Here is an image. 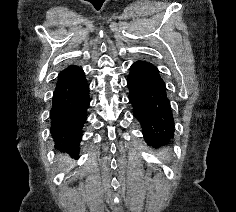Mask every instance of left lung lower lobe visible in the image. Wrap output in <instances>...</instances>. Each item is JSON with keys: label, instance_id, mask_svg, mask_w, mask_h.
I'll return each mask as SVG.
<instances>
[{"label": "left lung lower lobe", "instance_id": "left-lung-lower-lobe-1", "mask_svg": "<svg viewBox=\"0 0 236 212\" xmlns=\"http://www.w3.org/2000/svg\"><path fill=\"white\" fill-rule=\"evenodd\" d=\"M127 86L133 114L141 123L147 144L157 146L173 138L174 119L158 68L149 61H136L130 67Z\"/></svg>", "mask_w": 236, "mask_h": 212}]
</instances>
